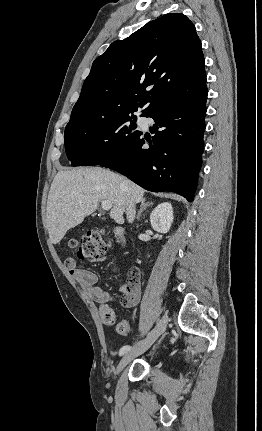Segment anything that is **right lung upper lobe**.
<instances>
[{
    "mask_svg": "<svg viewBox=\"0 0 262 431\" xmlns=\"http://www.w3.org/2000/svg\"><path fill=\"white\" fill-rule=\"evenodd\" d=\"M206 85L201 41L183 14H166L113 42L92 64L68 125L141 116L187 100Z\"/></svg>",
    "mask_w": 262,
    "mask_h": 431,
    "instance_id": "1",
    "label": "right lung upper lobe"
}]
</instances>
